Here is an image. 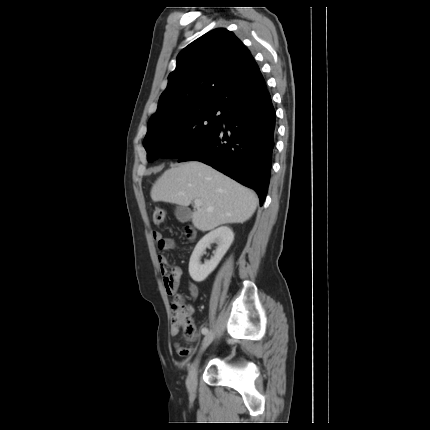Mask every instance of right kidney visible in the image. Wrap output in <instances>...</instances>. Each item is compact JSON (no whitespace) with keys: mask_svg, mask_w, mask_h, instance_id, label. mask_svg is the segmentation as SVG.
I'll use <instances>...</instances> for the list:
<instances>
[{"mask_svg":"<svg viewBox=\"0 0 430 430\" xmlns=\"http://www.w3.org/2000/svg\"><path fill=\"white\" fill-rule=\"evenodd\" d=\"M234 240L232 230L227 226H221L204 235L195 246L189 262V274L195 282L204 281L217 267ZM212 243L218 246L214 257L210 261L201 264L200 258L205 249Z\"/></svg>","mask_w":430,"mask_h":430,"instance_id":"obj_1","label":"right kidney"}]
</instances>
